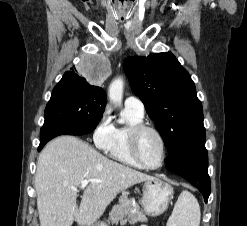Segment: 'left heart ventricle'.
<instances>
[{"label": "left heart ventricle", "instance_id": "left-heart-ventricle-1", "mask_svg": "<svg viewBox=\"0 0 247 226\" xmlns=\"http://www.w3.org/2000/svg\"><path fill=\"white\" fill-rule=\"evenodd\" d=\"M138 151L141 159L148 165H157L161 160V143L151 131H144L139 136Z\"/></svg>", "mask_w": 247, "mask_h": 226}]
</instances>
